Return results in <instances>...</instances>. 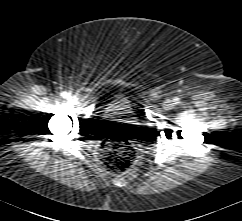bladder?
<instances>
[{
  "instance_id": "31cf9c89",
  "label": "bladder",
  "mask_w": 242,
  "mask_h": 221,
  "mask_svg": "<svg viewBox=\"0 0 242 221\" xmlns=\"http://www.w3.org/2000/svg\"><path fill=\"white\" fill-rule=\"evenodd\" d=\"M107 109L109 113L119 114V113L129 111L131 109V106L124 101H117L109 104L107 106Z\"/></svg>"
}]
</instances>
